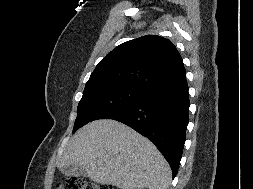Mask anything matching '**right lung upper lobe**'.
Here are the masks:
<instances>
[{"mask_svg":"<svg viewBox=\"0 0 253 189\" xmlns=\"http://www.w3.org/2000/svg\"><path fill=\"white\" fill-rule=\"evenodd\" d=\"M184 79L182 57L174 44L161 36L146 35L117 46L101 60L84 92L106 86L148 91Z\"/></svg>","mask_w":253,"mask_h":189,"instance_id":"right-lung-upper-lobe-1","label":"right lung upper lobe"}]
</instances>
